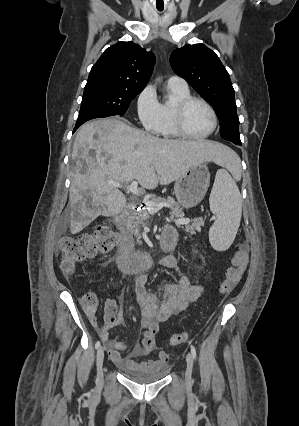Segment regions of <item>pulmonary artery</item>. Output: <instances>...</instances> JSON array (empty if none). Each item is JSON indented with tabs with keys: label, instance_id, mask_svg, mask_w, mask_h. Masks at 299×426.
<instances>
[{
	"label": "pulmonary artery",
	"instance_id": "e3ab8cb5",
	"mask_svg": "<svg viewBox=\"0 0 299 426\" xmlns=\"http://www.w3.org/2000/svg\"><path fill=\"white\" fill-rule=\"evenodd\" d=\"M168 84L172 85V86L181 87V88H187L188 87L187 82L179 76H171L168 79Z\"/></svg>",
	"mask_w": 299,
	"mask_h": 426
}]
</instances>
